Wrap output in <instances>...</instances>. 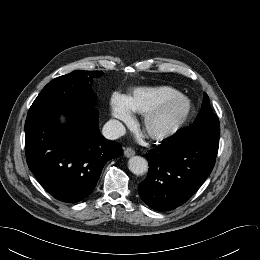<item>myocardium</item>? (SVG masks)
I'll return each mask as SVG.
<instances>
[{
  "mask_svg": "<svg viewBox=\"0 0 260 260\" xmlns=\"http://www.w3.org/2000/svg\"><path fill=\"white\" fill-rule=\"evenodd\" d=\"M175 101H180L182 103V112L179 118L173 124L163 129H150V121L156 115H158L166 106ZM192 110L193 104L191 100L187 96L179 93L160 101L155 106L143 113L141 119V127L151 139L156 141H163L174 136L184 127L189 117L191 116Z\"/></svg>",
  "mask_w": 260,
  "mask_h": 260,
  "instance_id": "obj_1",
  "label": "myocardium"
}]
</instances>
